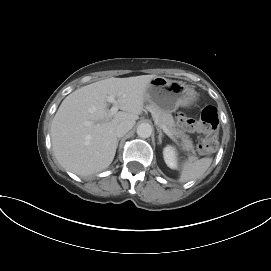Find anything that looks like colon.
Instances as JSON below:
<instances>
[{"label": "colon", "mask_w": 271, "mask_h": 271, "mask_svg": "<svg viewBox=\"0 0 271 271\" xmlns=\"http://www.w3.org/2000/svg\"><path fill=\"white\" fill-rule=\"evenodd\" d=\"M177 124L187 132L203 133L204 137L198 144L202 154L212 153L218 144L219 118L217 109L213 106L205 107L199 119H192L184 113H178Z\"/></svg>", "instance_id": "obj_1"}]
</instances>
